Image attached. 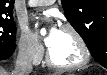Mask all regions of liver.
<instances>
[{
	"label": "liver",
	"mask_w": 107,
	"mask_h": 75,
	"mask_svg": "<svg viewBox=\"0 0 107 75\" xmlns=\"http://www.w3.org/2000/svg\"><path fill=\"white\" fill-rule=\"evenodd\" d=\"M0 75H9V74L4 68H1L0 69Z\"/></svg>",
	"instance_id": "6515ba94"
}]
</instances>
